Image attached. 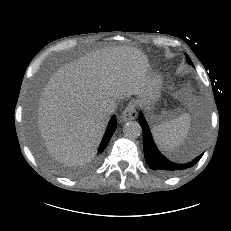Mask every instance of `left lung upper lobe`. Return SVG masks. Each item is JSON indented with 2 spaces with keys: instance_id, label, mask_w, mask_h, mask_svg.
<instances>
[{
  "instance_id": "1",
  "label": "left lung upper lobe",
  "mask_w": 231,
  "mask_h": 231,
  "mask_svg": "<svg viewBox=\"0 0 231 231\" xmlns=\"http://www.w3.org/2000/svg\"><path fill=\"white\" fill-rule=\"evenodd\" d=\"M186 58H187V62L190 64V65H192L193 66V63L191 62V60H190V58H189V56L186 54Z\"/></svg>"
}]
</instances>
